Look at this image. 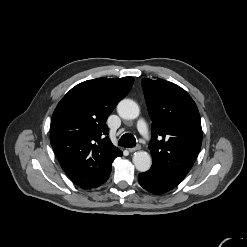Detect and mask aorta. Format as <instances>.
<instances>
[{
    "instance_id": "aorta-1",
    "label": "aorta",
    "mask_w": 247,
    "mask_h": 247,
    "mask_svg": "<svg viewBox=\"0 0 247 247\" xmlns=\"http://www.w3.org/2000/svg\"><path fill=\"white\" fill-rule=\"evenodd\" d=\"M117 112L123 119L132 120L139 116L140 110L138 104L131 99H123L117 105ZM133 163L140 172H146L150 169L152 159L145 151H137L133 155Z\"/></svg>"
}]
</instances>
